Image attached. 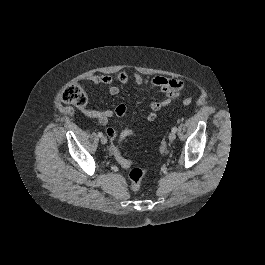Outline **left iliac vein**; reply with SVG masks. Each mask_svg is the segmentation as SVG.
Instances as JSON below:
<instances>
[{"label":"left iliac vein","mask_w":265,"mask_h":265,"mask_svg":"<svg viewBox=\"0 0 265 265\" xmlns=\"http://www.w3.org/2000/svg\"><path fill=\"white\" fill-rule=\"evenodd\" d=\"M168 138H169L170 141H174L175 138H176V134H175L174 132H171V133L169 134Z\"/></svg>","instance_id":"obj_1"}]
</instances>
